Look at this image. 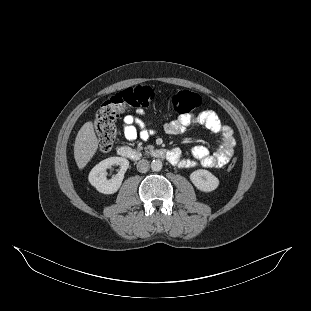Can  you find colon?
Returning a JSON list of instances; mask_svg holds the SVG:
<instances>
[{
	"mask_svg": "<svg viewBox=\"0 0 311 311\" xmlns=\"http://www.w3.org/2000/svg\"><path fill=\"white\" fill-rule=\"evenodd\" d=\"M156 101L155 92L148 86H136L125 89L105 101L94 118V127L98 137L99 149L109 152L116 138V119L130 108H148ZM167 106L174 112L184 115L201 105L199 94L189 90H179L168 95L165 99ZM237 160L234 158L227 169L233 170Z\"/></svg>",
	"mask_w": 311,
	"mask_h": 311,
	"instance_id": "5ec220e1",
	"label": "colon"
}]
</instances>
